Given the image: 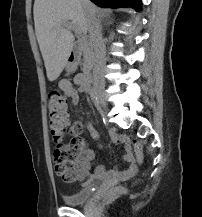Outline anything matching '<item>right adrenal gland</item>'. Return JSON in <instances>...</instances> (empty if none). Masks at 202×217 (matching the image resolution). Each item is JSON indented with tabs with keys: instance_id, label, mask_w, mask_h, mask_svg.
I'll list each match as a JSON object with an SVG mask.
<instances>
[{
	"instance_id": "1",
	"label": "right adrenal gland",
	"mask_w": 202,
	"mask_h": 217,
	"mask_svg": "<svg viewBox=\"0 0 202 217\" xmlns=\"http://www.w3.org/2000/svg\"><path fill=\"white\" fill-rule=\"evenodd\" d=\"M106 20H108V19H106ZM99 21V24H100V26H101V28H103V22H104V18L102 17L101 19H99L98 20ZM113 22L111 21V20H108L107 21V24H112Z\"/></svg>"
}]
</instances>
